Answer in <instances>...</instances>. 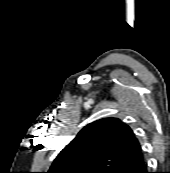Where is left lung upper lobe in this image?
Segmentation results:
<instances>
[{
	"label": "left lung upper lobe",
	"mask_w": 170,
	"mask_h": 173,
	"mask_svg": "<svg viewBox=\"0 0 170 173\" xmlns=\"http://www.w3.org/2000/svg\"><path fill=\"white\" fill-rule=\"evenodd\" d=\"M141 155V146L128 125L117 118H103L86 125L47 173H116Z\"/></svg>",
	"instance_id": "left-lung-upper-lobe-1"
}]
</instances>
